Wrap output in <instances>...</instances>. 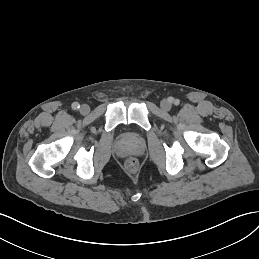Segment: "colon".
I'll return each mask as SVG.
<instances>
[{
    "label": "colon",
    "mask_w": 259,
    "mask_h": 259,
    "mask_svg": "<svg viewBox=\"0 0 259 259\" xmlns=\"http://www.w3.org/2000/svg\"><path fill=\"white\" fill-rule=\"evenodd\" d=\"M125 166L130 171H135L138 167V161L135 158H128L125 162Z\"/></svg>",
    "instance_id": "5ec220e1"
}]
</instances>
